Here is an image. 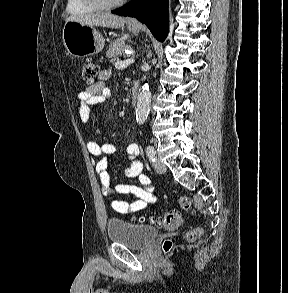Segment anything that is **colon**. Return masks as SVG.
Masks as SVG:
<instances>
[{
  "label": "colon",
  "mask_w": 288,
  "mask_h": 293,
  "mask_svg": "<svg viewBox=\"0 0 288 293\" xmlns=\"http://www.w3.org/2000/svg\"><path fill=\"white\" fill-rule=\"evenodd\" d=\"M100 69L98 64L93 60H86L82 66V75L84 80L88 84H94ZM180 203L185 210L191 209V201L187 197H181ZM183 216L178 210H170L164 215L156 218L153 222L159 227L166 229H175L182 224ZM202 235V230L200 228H195L187 232L186 238L188 241H195ZM172 243L170 240L164 242V250L169 251L171 249Z\"/></svg>",
  "instance_id": "5ec220e1"
}]
</instances>
